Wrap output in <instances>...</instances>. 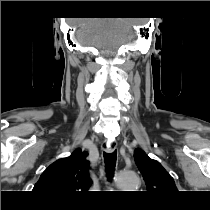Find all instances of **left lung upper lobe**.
I'll return each mask as SVG.
<instances>
[{"mask_svg":"<svg viewBox=\"0 0 210 210\" xmlns=\"http://www.w3.org/2000/svg\"><path fill=\"white\" fill-rule=\"evenodd\" d=\"M134 159L148 192L164 194L177 191L173 178L158 161L149 158L141 149L135 150Z\"/></svg>","mask_w":210,"mask_h":210,"instance_id":"obj_1","label":"left lung upper lobe"}]
</instances>
